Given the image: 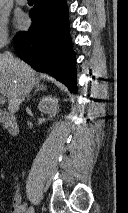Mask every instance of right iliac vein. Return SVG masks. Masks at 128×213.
Listing matches in <instances>:
<instances>
[{
	"mask_svg": "<svg viewBox=\"0 0 128 213\" xmlns=\"http://www.w3.org/2000/svg\"><path fill=\"white\" fill-rule=\"evenodd\" d=\"M27 213H35V212H34V208L31 206V207L27 210Z\"/></svg>",
	"mask_w": 128,
	"mask_h": 213,
	"instance_id": "63e3f726",
	"label": "right iliac vein"
}]
</instances>
